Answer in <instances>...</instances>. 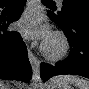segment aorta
I'll return each instance as SVG.
<instances>
[{
  "label": "aorta",
  "instance_id": "1",
  "mask_svg": "<svg viewBox=\"0 0 89 89\" xmlns=\"http://www.w3.org/2000/svg\"><path fill=\"white\" fill-rule=\"evenodd\" d=\"M32 81L34 84L33 89H40L41 78H40V74L38 72H35L33 74Z\"/></svg>",
  "mask_w": 89,
  "mask_h": 89
}]
</instances>
